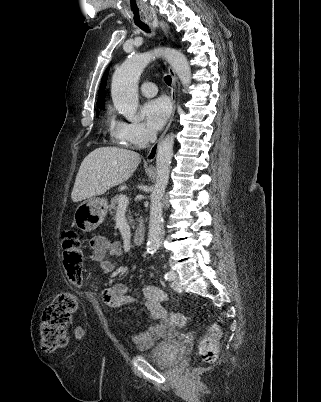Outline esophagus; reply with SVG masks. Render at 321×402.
I'll list each match as a JSON object with an SVG mask.
<instances>
[{
	"label": "esophagus",
	"instance_id": "1",
	"mask_svg": "<svg viewBox=\"0 0 321 402\" xmlns=\"http://www.w3.org/2000/svg\"><path fill=\"white\" fill-rule=\"evenodd\" d=\"M159 25L162 28V30H163L164 34L166 35V37H169V35H170V27H169L168 23H166L165 21H160ZM169 73H170V75L172 77V86H171V90H170V96H171L172 105H173L172 112H171L169 122H168L166 128L164 129L163 133L161 134L159 139L153 144V146L150 148L149 152L147 153L146 160L149 163L152 162L155 159L157 151H158V148H159V145H160L164 135L166 134V132L170 128L171 123H172V121L174 119V114H175V110H176V81H177V77H176L174 69L171 66H169Z\"/></svg>",
	"mask_w": 321,
	"mask_h": 402
}]
</instances>
